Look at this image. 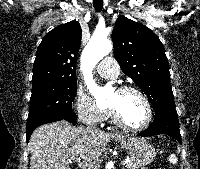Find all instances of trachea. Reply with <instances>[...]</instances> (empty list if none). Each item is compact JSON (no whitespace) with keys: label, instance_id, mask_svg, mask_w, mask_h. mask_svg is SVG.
Segmentation results:
<instances>
[{"label":"trachea","instance_id":"3493384b","mask_svg":"<svg viewBox=\"0 0 200 169\" xmlns=\"http://www.w3.org/2000/svg\"><path fill=\"white\" fill-rule=\"evenodd\" d=\"M93 6L96 11H100L103 8V0H94Z\"/></svg>","mask_w":200,"mask_h":169}]
</instances>
